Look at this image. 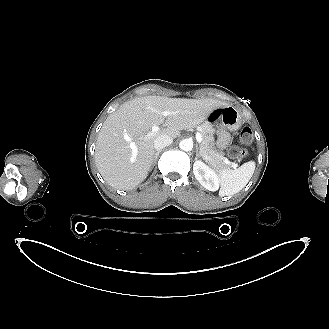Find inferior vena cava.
<instances>
[{
	"label": "inferior vena cava",
	"mask_w": 329,
	"mask_h": 329,
	"mask_svg": "<svg viewBox=\"0 0 329 329\" xmlns=\"http://www.w3.org/2000/svg\"><path fill=\"white\" fill-rule=\"evenodd\" d=\"M173 142V138L168 136V135H159L155 140H154V148L156 150H161L165 148L166 146L171 145Z\"/></svg>",
	"instance_id": "1"
}]
</instances>
